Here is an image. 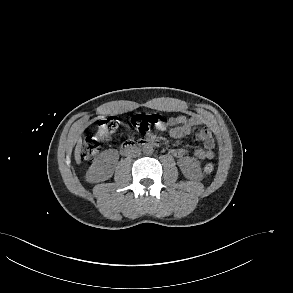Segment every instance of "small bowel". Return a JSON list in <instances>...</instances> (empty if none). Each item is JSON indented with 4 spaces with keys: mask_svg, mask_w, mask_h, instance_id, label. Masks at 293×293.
Listing matches in <instances>:
<instances>
[{
    "mask_svg": "<svg viewBox=\"0 0 293 293\" xmlns=\"http://www.w3.org/2000/svg\"><path fill=\"white\" fill-rule=\"evenodd\" d=\"M203 119L199 116L187 117L184 115L174 116L167 119L158 130H169L172 138L178 139L189 135L194 127L203 125ZM196 139L202 142L203 147L196 149L192 156L199 160H210L214 157V139L210 130L206 127L202 128L197 134ZM171 154L176 158H184L188 156V152L183 148H172Z\"/></svg>",
    "mask_w": 293,
    "mask_h": 293,
    "instance_id": "small-bowel-1",
    "label": "small bowel"
}]
</instances>
